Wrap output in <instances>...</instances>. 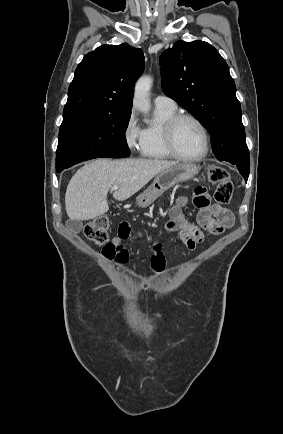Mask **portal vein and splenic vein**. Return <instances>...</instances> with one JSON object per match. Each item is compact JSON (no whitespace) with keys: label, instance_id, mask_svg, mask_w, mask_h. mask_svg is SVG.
Masks as SVG:
<instances>
[{"label":"portal vein and splenic vein","instance_id":"portal-vein-and-splenic-vein-1","mask_svg":"<svg viewBox=\"0 0 283 434\" xmlns=\"http://www.w3.org/2000/svg\"><path fill=\"white\" fill-rule=\"evenodd\" d=\"M117 189H118V186H116V185L111 187V190H117Z\"/></svg>","mask_w":283,"mask_h":434}]
</instances>
